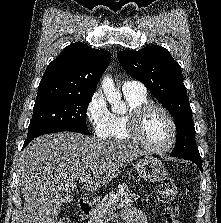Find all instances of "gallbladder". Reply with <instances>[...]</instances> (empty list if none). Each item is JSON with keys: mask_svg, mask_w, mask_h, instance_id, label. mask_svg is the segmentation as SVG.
I'll return each mask as SVG.
<instances>
[{"mask_svg": "<svg viewBox=\"0 0 221 223\" xmlns=\"http://www.w3.org/2000/svg\"><path fill=\"white\" fill-rule=\"evenodd\" d=\"M64 203H69V202H71V197L70 196H66L64 199Z\"/></svg>", "mask_w": 221, "mask_h": 223, "instance_id": "1", "label": "gallbladder"}]
</instances>
